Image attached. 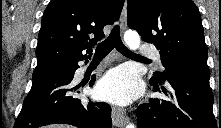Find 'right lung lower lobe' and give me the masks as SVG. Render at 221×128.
<instances>
[{
	"label": "right lung lower lobe",
	"instance_id": "1",
	"mask_svg": "<svg viewBox=\"0 0 221 128\" xmlns=\"http://www.w3.org/2000/svg\"><path fill=\"white\" fill-rule=\"evenodd\" d=\"M78 62L33 78L14 128H37L63 123L78 128H111V108L107 103L81 104L73 96L80 85L73 82ZM95 82L92 77L89 86Z\"/></svg>",
	"mask_w": 221,
	"mask_h": 128
}]
</instances>
